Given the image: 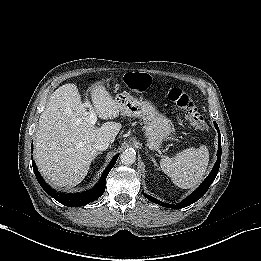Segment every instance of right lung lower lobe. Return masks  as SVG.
I'll list each match as a JSON object with an SVG mask.
<instances>
[{"instance_id":"right-lung-lower-lobe-1","label":"right lung lower lobe","mask_w":261,"mask_h":261,"mask_svg":"<svg viewBox=\"0 0 261 261\" xmlns=\"http://www.w3.org/2000/svg\"><path fill=\"white\" fill-rule=\"evenodd\" d=\"M33 147V146H32ZM118 158V155H116L110 164L107 166V168L104 170L102 177L99 181V183L92 189L79 193V194H65V193H58L56 190L52 189L50 186H48L43 178L41 177L40 173L38 172V169L35 165V162L32 161L33 164V170L35 173V176L41 185V187L45 190V192L49 195H51L55 200L62 203L65 206L68 207H80L83 205H86L96 199H98L105 191V182L106 177L109 174L112 167L115 165L116 160Z\"/></svg>"}]
</instances>
